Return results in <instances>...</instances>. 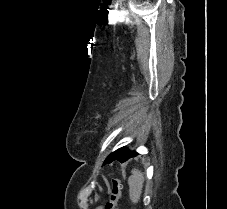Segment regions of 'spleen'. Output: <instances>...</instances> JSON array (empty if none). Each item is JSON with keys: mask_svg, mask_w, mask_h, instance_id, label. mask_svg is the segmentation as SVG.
<instances>
[{"mask_svg": "<svg viewBox=\"0 0 227 209\" xmlns=\"http://www.w3.org/2000/svg\"><path fill=\"white\" fill-rule=\"evenodd\" d=\"M144 175L139 169H132L131 177L128 179L129 197L132 203H139L143 191Z\"/></svg>", "mask_w": 227, "mask_h": 209, "instance_id": "3e777b00", "label": "spleen"}]
</instances>
